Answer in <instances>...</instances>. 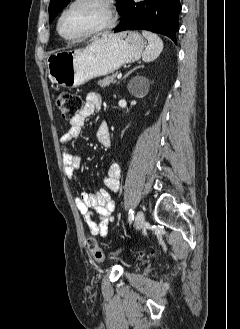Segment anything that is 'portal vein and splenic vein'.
Segmentation results:
<instances>
[{
    "mask_svg": "<svg viewBox=\"0 0 240 329\" xmlns=\"http://www.w3.org/2000/svg\"><path fill=\"white\" fill-rule=\"evenodd\" d=\"M121 78H122V74L120 73L118 74L117 79H121Z\"/></svg>",
    "mask_w": 240,
    "mask_h": 329,
    "instance_id": "18ae733b",
    "label": "portal vein and splenic vein"
}]
</instances>
